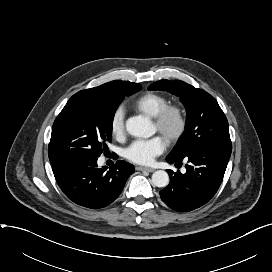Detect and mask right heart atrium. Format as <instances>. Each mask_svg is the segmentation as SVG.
Instances as JSON below:
<instances>
[{"label":"right heart atrium","mask_w":272,"mask_h":272,"mask_svg":"<svg viewBox=\"0 0 272 272\" xmlns=\"http://www.w3.org/2000/svg\"><path fill=\"white\" fill-rule=\"evenodd\" d=\"M110 132L116 139H121L125 132V111L122 107H118L110 120Z\"/></svg>","instance_id":"obj_1"}]
</instances>
